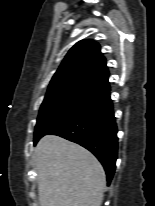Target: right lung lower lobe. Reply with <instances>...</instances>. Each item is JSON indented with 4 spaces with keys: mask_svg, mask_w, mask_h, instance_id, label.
Segmentation results:
<instances>
[{
    "mask_svg": "<svg viewBox=\"0 0 155 206\" xmlns=\"http://www.w3.org/2000/svg\"><path fill=\"white\" fill-rule=\"evenodd\" d=\"M48 134L61 136L91 151L102 163L108 184L111 182L116 168L118 138L110 94L96 106Z\"/></svg>",
    "mask_w": 155,
    "mask_h": 206,
    "instance_id": "98d812e1",
    "label": "right lung lower lobe"
}]
</instances>
